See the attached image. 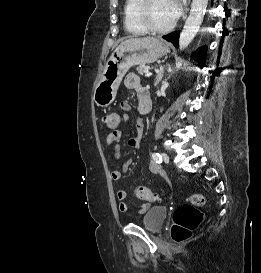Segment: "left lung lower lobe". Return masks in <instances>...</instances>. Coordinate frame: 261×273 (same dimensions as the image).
<instances>
[{"label":"left lung lower lobe","instance_id":"obj_1","mask_svg":"<svg viewBox=\"0 0 261 273\" xmlns=\"http://www.w3.org/2000/svg\"><path fill=\"white\" fill-rule=\"evenodd\" d=\"M163 38L167 41L172 42L175 47H178L179 32H172L166 36H163ZM206 50L207 48L204 46L194 52L192 55V57L200 64V67H203L205 64Z\"/></svg>","mask_w":261,"mask_h":273}]
</instances>
